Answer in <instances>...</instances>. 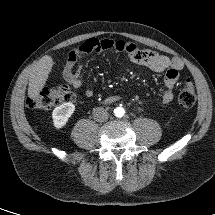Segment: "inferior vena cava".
Instances as JSON below:
<instances>
[{"label":"inferior vena cava","mask_w":215,"mask_h":215,"mask_svg":"<svg viewBox=\"0 0 215 215\" xmlns=\"http://www.w3.org/2000/svg\"><path fill=\"white\" fill-rule=\"evenodd\" d=\"M93 118L98 122H105L108 119V113L103 107H97L93 109Z\"/></svg>","instance_id":"inferior-vena-cava-1"}]
</instances>
